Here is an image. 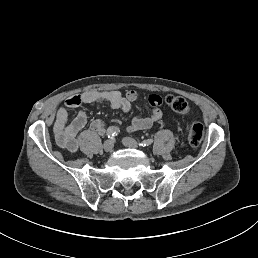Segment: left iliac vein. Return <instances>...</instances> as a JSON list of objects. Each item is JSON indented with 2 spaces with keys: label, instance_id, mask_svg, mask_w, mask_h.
I'll use <instances>...</instances> for the list:
<instances>
[{
  "label": "left iliac vein",
  "instance_id": "4c4485c4",
  "mask_svg": "<svg viewBox=\"0 0 258 258\" xmlns=\"http://www.w3.org/2000/svg\"><path fill=\"white\" fill-rule=\"evenodd\" d=\"M125 146H129L131 147L132 149H135V148H139L140 147V143L137 142L136 139H133L132 137L131 138H124V144Z\"/></svg>",
  "mask_w": 258,
  "mask_h": 258
}]
</instances>
